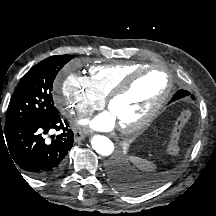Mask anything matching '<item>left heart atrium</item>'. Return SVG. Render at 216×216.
<instances>
[{
    "instance_id": "left-heart-atrium-1",
    "label": "left heart atrium",
    "mask_w": 216,
    "mask_h": 216,
    "mask_svg": "<svg viewBox=\"0 0 216 216\" xmlns=\"http://www.w3.org/2000/svg\"><path fill=\"white\" fill-rule=\"evenodd\" d=\"M79 123L97 131H109L114 128L116 120L110 112H103L92 119H83Z\"/></svg>"
}]
</instances>
